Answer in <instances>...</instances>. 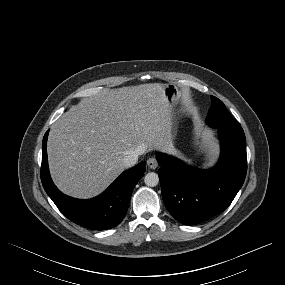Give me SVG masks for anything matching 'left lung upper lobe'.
I'll return each instance as SVG.
<instances>
[{
    "label": "left lung upper lobe",
    "instance_id": "1",
    "mask_svg": "<svg viewBox=\"0 0 285 285\" xmlns=\"http://www.w3.org/2000/svg\"><path fill=\"white\" fill-rule=\"evenodd\" d=\"M212 104L206 118V123L212 127H238L239 122L235 120L224 103L218 98L211 96Z\"/></svg>",
    "mask_w": 285,
    "mask_h": 285
}]
</instances>
